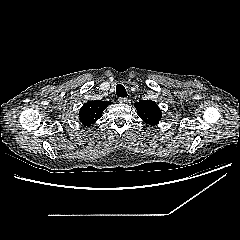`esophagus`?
<instances>
[{
	"instance_id": "1",
	"label": "esophagus",
	"mask_w": 240,
	"mask_h": 240,
	"mask_svg": "<svg viewBox=\"0 0 240 240\" xmlns=\"http://www.w3.org/2000/svg\"><path fill=\"white\" fill-rule=\"evenodd\" d=\"M118 101H119L120 103H126V102H127V98H122V97H120V98H118Z\"/></svg>"
}]
</instances>
